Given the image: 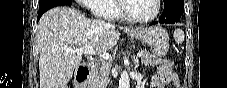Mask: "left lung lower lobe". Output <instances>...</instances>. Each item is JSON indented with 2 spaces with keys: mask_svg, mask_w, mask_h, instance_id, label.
Masks as SVG:
<instances>
[{
  "mask_svg": "<svg viewBox=\"0 0 227 88\" xmlns=\"http://www.w3.org/2000/svg\"><path fill=\"white\" fill-rule=\"evenodd\" d=\"M184 13L183 0H164V12L161 18L152 24H174L180 20Z\"/></svg>",
  "mask_w": 227,
  "mask_h": 88,
  "instance_id": "0a47b994",
  "label": "left lung lower lobe"
}]
</instances>
